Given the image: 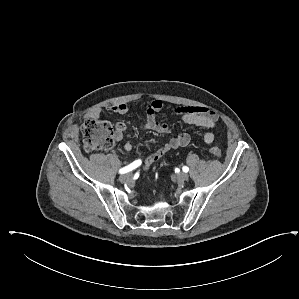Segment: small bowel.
Returning a JSON list of instances; mask_svg holds the SVG:
<instances>
[{
  "label": "small bowel",
  "mask_w": 299,
  "mask_h": 299,
  "mask_svg": "<svg viewBox=\"0 0 299 299\" xmlns=\"http://www.w3.org/2000/svg\"><path fill=\"white\" fill-rule=\"evenodd\" d=\"M163 104L161 101L155 100L148 104L146 108V120L145 123L140 127L141 131L150 130L156 133L165 135L170 133V128L166 123L159 122L157 120V114L161 111ZM106 110L111 113L116 114H127L129 108L124 103H118L109 105ZM102 113L99 108L91 109L86 118H98ZM174 113L179 115L181 119L190 125L200 126L204 128L211 129L204 135V141L206 144H211L215 139V134L212 131L216 127L218 121V115L212 109L200 106H181L174 108ZM115 139L121 141L125 131L127 130V125L124 122H118L115 125ZM190 142V136L187 133H179L175 137L170 138L166 143H164L156 152L151 154L145 159L144 167L149 168L154 162L161 159L167 152L171 150H176L178 148L185 147ZM124 150L130 152L133 150V145L129 142L124 144Z\"/></svg>",
  "instance_id": "1"
}]
</instances>
